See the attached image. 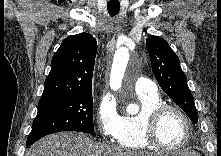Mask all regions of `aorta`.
I'll list each match as a JSON object with an SVG mask.
<instances>
[{
	"mask_svg": "<svg viewBox=\"0 0 221 156\" xmlns=\"http://www.w3.org/2000/svg\"><path fill=\"white\" fill-rule=\"evenodd\" d=\"M128 60V48L125 46L119 47L115 52L110 73V87L113 91H118L121 88ZM126 110L128 114L134 115L138 113L139 108L136 105H129Z\"/></svg>",
	"mask_w": 221,
	"mask_h": 156,
	"instance_id": "762f6f07",
	"label": "aorta"
}]
</instances>
